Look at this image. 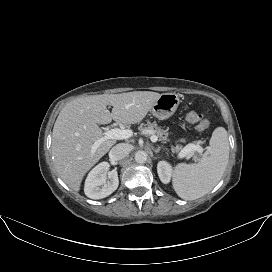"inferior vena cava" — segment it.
Here are the masks:
<instances>
[{
  "mask_svg": "<svg viewBox=\"0 0 272 272\" xmlns=\"http://www.w3.org/2000/svg\"><path fill=\"white\" fill-rule=\"evenodd\" d=\"M131 151V145L126 143H119L112 147L109 152V158L111 161H118L126 157Z\"/></svg>",
  "mask_w": 272,
  "mask_h": 272,
  "instance_id": "602c4592",
  "label": "inferior vena cava"
}]
</instances>
